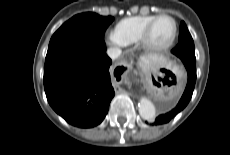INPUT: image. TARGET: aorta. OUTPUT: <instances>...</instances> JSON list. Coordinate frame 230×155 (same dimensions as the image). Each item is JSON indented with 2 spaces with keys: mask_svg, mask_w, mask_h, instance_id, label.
Wrapping results in <instances>:
<instances>
[{
  "mask_svg": "<svg viewBox=\"0 0 230 155\" xmlns=\"http://www.w3.org/2000/svg\"><path fill=\"white\" fill-rule=\"evenodd\" d=\"M138 108L139 114L143 119L152 120L155 117V107L149 99L142 97L139 101Z\"/></svg>",
  "mask_w": 230,
  "mask_h": 155,
  "instance_id": "762f6f07",
  "label": "aorta"
}]
</instances>
